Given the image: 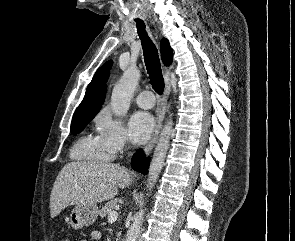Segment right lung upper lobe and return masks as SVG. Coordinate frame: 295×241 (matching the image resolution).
<instances>
[{
  "mask_svg": "<svg viewBox=\"0 0 295 241\" xmlns=\"http://www.w3.org/2000/svg\"><path fill=\"white\" fill-rule=\"evenodd\" d=\"M161 57L164 65L169 66L173 60V52L170 47V44L166 38L161 40ZM112 66V61H107L103 64L95 73L92 81L87 87L85 96L77 107L75 113L81 112H93L100 110L101 105L103 104L105 94H106V85L105 83L109 77V70ZM74 113V114H75Z\"/></svg>",
  "mask_w": 295,
  "mask_h": 241,
  "instance_id": "1",
  "label": "right lung upper lobe"
}]
</instances>
